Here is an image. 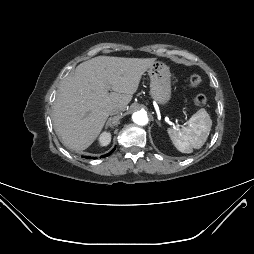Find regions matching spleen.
Returning a JSON list of instances; mask_svg holds the SVG:
<instances>
[{
	"mask_svg": "<svg viewBox=\"0 0 254 254\" xmlns=\"http://www.w3.org/2000/svg\"><path fill=\"white\" fill-rule=\"evenodd\" d=\"M212 127V120L204 108L197 111L180 130L169 128L168 134L174 146L182 153H192L206 142Z\"/></svg>",
	"mask_w": 254,
	"mask_h": 254,
	"instance_id": "3e777b00",
	"label": "spleen"
}]
</instances>
